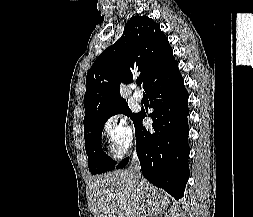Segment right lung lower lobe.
<instances>
[{
    "label": "right lung lower lobe",
    "instance_id": "obj_1",
    "mask_svg": "<svg viewBox=\"0 0 253 217\" xmlns=\"http://www.w3.org/2000/svg\"><path fill=\"white\" fill-rule=\"evenodd\" d=\"M145 91L154 109L148 115L153 119L152 128L142 125L145 111L137 113L133 121L141 171L153 185L178 199L183 197L189 178V109L177 62L153 78ZM128 161L129 157L123 159L116 168L124 167Z\"/></svg>",
    "mask_w": 253,
    "mask_h": 217
}]
</instances>
